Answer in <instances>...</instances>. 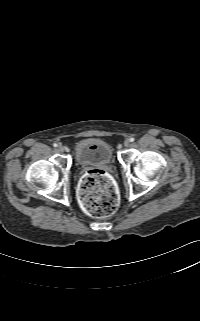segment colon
Here are the masks:
<instances>
[{
    "label": "colon",
    "instance_id": "colon-1",
    "mask_svg": "<svg viewBox=\"0 0 200 321\" xmlns=\"http://www.w3.org/2000/svg\"><path fill=\"white\" fill-rule=\"evenodd\" d=\"M79 198L83 209L94 217L112 215L119 204L117 191L105 171L87 172L79 184Z\"/></svg>",
    "mask_w": 200,
    "mask_h": 321
}]
</instances>
